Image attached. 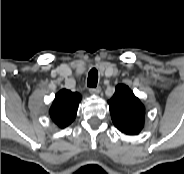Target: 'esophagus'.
Returning a JSON list of instances; mask_svg holds the SVG:
<instances>
[{
  "label": "esophagus",
  "instance_id": "34e87169",
  "mask_svg": "<svg viewBox=\"0 0 184 174\" xmlns=\"http://www.w3.org/2000/svg\"><path fill=\"white\" fill-rule=\"evenodd\" d=\"M91 94H99L101 92V87L89 88Z\"/></svg>",
  "mask_w": 184,
  "mask_h": 174
}]
</instances>
